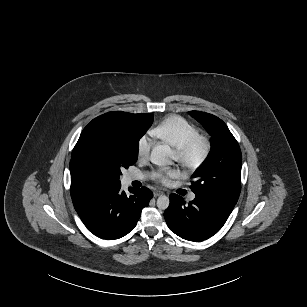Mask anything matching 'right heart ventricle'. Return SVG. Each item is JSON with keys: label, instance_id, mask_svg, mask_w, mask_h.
<instances>
[{"label": "right heart ventricle", "instance_id": "obj_1", "mask_svg": "<svg viewBox=\"0 0 307 307\" xmlns=\"http://www.w3.org/2000/svg\"><path fill=\"white\" fill-rule=\"evenodd\" d=\"M147 132L154 140L155 146L165 143L173 149L182 147L197 136V131L178 116L164 118L150 126Z\"/></svg>", "mask_w": 307, "mask_h": 307}]
</instances>
